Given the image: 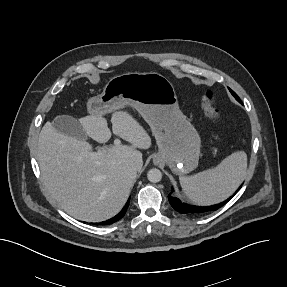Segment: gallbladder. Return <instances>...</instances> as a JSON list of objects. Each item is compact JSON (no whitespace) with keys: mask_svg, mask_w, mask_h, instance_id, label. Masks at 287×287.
Listing matches in <instances>:
<instances>
[{"mask_svg":"<svg viewBox=\"0 0 287 287\" xmlns=\"http://www.w3.org/2000/svg\"><path fill=\"white\" fill-rule=\"evenodd\" d=\"M53 127L60 133L73 137L76 139L84 140L86 133L80 122L72 116L60 115L52 121Z\"/></svg>","mask_w":287,"mask_h":287,"instance_id":"gallbladder-1","label":"gallbladder"}]
</instances>
